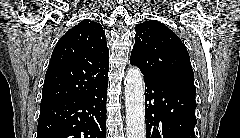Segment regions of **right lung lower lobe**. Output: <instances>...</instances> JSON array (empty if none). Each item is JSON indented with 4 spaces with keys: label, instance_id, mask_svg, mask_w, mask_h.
<instances>
[{
    "label": "right lung lower lobe",
    "instance_id": "right-lung-lower-lobe-1",
    "mask_svg": "<svg viewBox=\"0 0 240 138\" xmlns=\"http://www.w3.org/2000/svg\"><path fill=\"white\" fill-rule=\"evenodd\" d=\"M107 84L41 107L37 138H106Z\"/></svg>",
    "mask_w": 240,
    "mask_h": 138
}]
</instances>
